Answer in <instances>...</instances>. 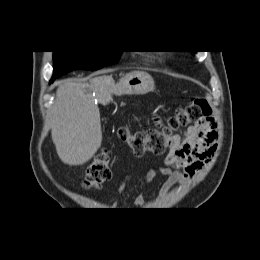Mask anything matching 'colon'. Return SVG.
I'll use <instances>...</instances> for the list:
<instances>
[{
  "mask_svg": "<svg viewBox=\"0 0 260 260\" xmlns=\"http://www.w3.org/2000/svg\"><path fill=\"white\" fill-rule=\"evenodd\" d=\"M210 116L211 108L208 102L205 99L195 98L169 116L166 124L136 132L123 127L119 129L118 135L127 143L135 156L141 157L146 153L159 156L170 147L177 130L190 124L200 123ZM110 178V157L106 150H102L86 168L83 187L99 188Z\"/></svg>",
  "mask_w": 260,
  "mask_h": 260,
  "instance_id": "colon-1",
  "label": "colon"
}]
</instances>
